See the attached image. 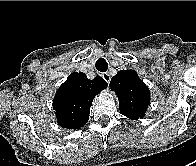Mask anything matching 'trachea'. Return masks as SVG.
Segmentation results:
<instances>
[{"label": "trachea", "instance_id": "trachea-1", "mask_svg": "<svg viewBox=\"0 0 196 166\" xmlns=\"http://www.w3.org/2000/svg\"><path fill=\"white\" fill-rule=\"evenodd\" d=\"M95 66H96L97 70L100 71V72H106L107 69H108L107 61L104 58H99L96 61Z\"/></svg>", "mask_w": 196, "mask_h": 166}]
</instances>
